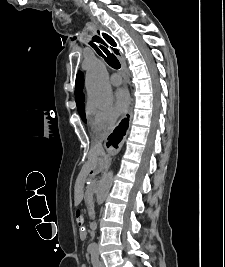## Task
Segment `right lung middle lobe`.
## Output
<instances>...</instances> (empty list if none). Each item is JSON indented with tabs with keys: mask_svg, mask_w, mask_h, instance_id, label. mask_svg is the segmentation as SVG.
<instances>
[{
	"mask_svg": "<svg viewBox=\"0 0 225 267\" xmlns=\"http://www.w3.org/2000/svg\"><path fill=\"white\" fill-rule=\"evenodd\" d=\"M79 114L84 122H86L85 112H84V106H82L80 109H78Z\"/></svg>",
	"mask_w": 225,
	"mask_h": 267,
	"instance_id": "obj_1",
	"label": "right lung middle lobe"
}]
</instances>
